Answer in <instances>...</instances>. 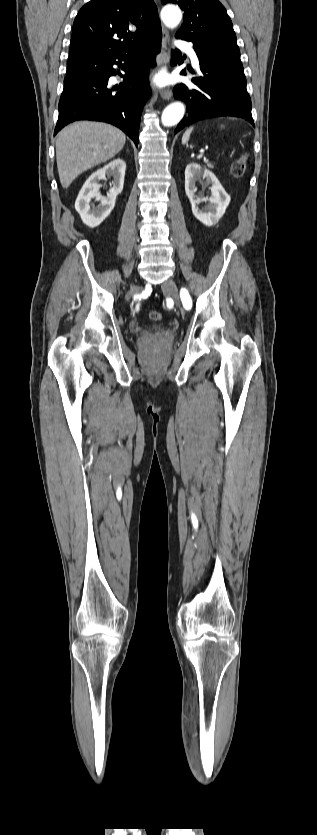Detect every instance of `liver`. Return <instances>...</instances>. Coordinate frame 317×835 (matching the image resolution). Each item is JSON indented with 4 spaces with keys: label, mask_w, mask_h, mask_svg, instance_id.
<instances>
[{
    "label": "liver",
    "mask_w": 317,
    "mask_h": 835,
    "mask_svg": "<svg viewBox=\"0 0 317 835\" xmlns=\"http://www.w3.org/2000/svg\"><path fill=\"white\" fill-rule=\"evenodd\" d=\"M125 142L126 135L110 124L84 121L62 129L55 145L62 187L68 188L78 175L113 158Z\"/></svg>",
    "instance_id": "obj_1"
}]
</instances>
